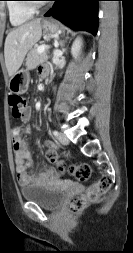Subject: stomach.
I'll use <instances>...</instances> for the list:
<instances>
[{
	"mask_svg": "<svg viewBox=\"0 0 133 253\" xmlns=\"http://www.w3.org/2000/svg\"><path fill=\"white\" fill-rule=\"evenodd\" d=\"M42 27L46 34H55L60 28L59 25L51 21H43ZM30 75L28 70L21 69L17 71L9 81V90L12 93L23 94L27 91L29 85Z\"/></svg>",
	"mask_w": 133,
	"mask_h": 253,
	"instance_id": "1",
	"label": "stomach"
}]
</instances>
